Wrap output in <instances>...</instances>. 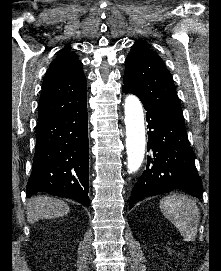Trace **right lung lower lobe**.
<instances>
[{"label": "right lung lower lobe", "mask_w": 221, "mask_h": 271, "mask_svg": "<svg viewBox=\"0 0 221 271\" xmlns=\"http://www.w3.org/2000/svg\"><path fill=\"white\" fill-rule=\"evenodd\" d=\"M87 104L79 110L39 121L27 197L39 192L90 205Z\"/></svg>", "instance_id": "obj_1"}]
</instances>
